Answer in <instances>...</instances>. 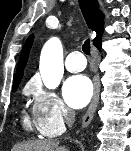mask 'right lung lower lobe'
Listing matches in <instances>:
<instances>
[{
  "instance_id": "obj_1",
  "label": "right lung lower lobe",
  "mask_w": 131,
  "mask_h": 151,
  "mask_svg": "<svg viewBox=\"0 0 131 151\" xmlns=\"http://www.w3.org/2000/svg\"><path fill=\"white\" fill-rule=\"evenodd\" d=\"M95 46L100 50L101 49V42L98 44H95Z\"/></svg>"
}]
</instances>
